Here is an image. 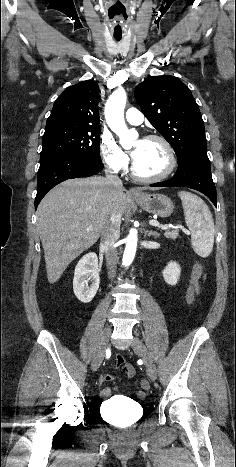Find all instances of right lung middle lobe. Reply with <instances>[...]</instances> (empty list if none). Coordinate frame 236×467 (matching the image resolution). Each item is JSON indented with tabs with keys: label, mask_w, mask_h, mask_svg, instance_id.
I'll return each instance as SVG.
<instances>
[{
	"label": "right lung middle lobe",
	"mask_w": 236,
	"mask_h": 467,
	"mask_svg": "<svg viewBox=\"0 0 236 467\" xmlns=\"http://www.w3.org/2000/svg\"><path fill=\"white\" fill-rule=\"evenodd\" d=\"M100 128L58 125L45 128L40 159L57 154H73L101 162Z\"/></svg>",
	"instance_id": "obj_1"
}]
</instances>
